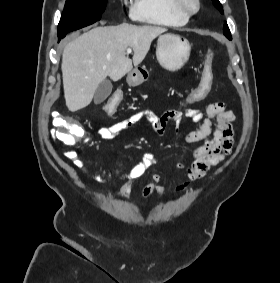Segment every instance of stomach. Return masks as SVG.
I'll return each instance as SVG.
<instances>
[{"label": "stomach", "instance_id": "0dacf381", "mask_svg": "<svg viewBox=\"0 0 280 283\" xmlns=\"http://www.w3.org/2000/svg\"><path fill=\"white\" fill-rule=\"evenodd\" d=\"M191 46L189 41L177 34L167 33L158 38L156 57L159 64L166 70H180L189 60ZM147 70L144 67L135 68L129 72L127 82L138 86L146 79Z\"/></svg>", "mask_w": 280, "mask_h": 283}]
</instances>
